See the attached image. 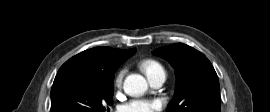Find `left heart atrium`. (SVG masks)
Here are the masks:
<instances>
[{"instance_id":"obj_1","label":"left heart atrium","mask_w":270,"mask_h":112,"mask_svg":"<svg viewBox=\"0 0 270 112\" xmlns=\"http://www.w3.org/2000/svg\"><path fill=\"white\" fill-rule=\"evenodd\" d=\"M161 107L159 100H132L122 106L121 112H155Z\"/></svg>"}]
</instances>
